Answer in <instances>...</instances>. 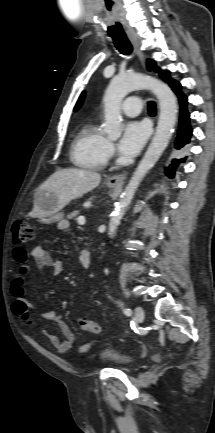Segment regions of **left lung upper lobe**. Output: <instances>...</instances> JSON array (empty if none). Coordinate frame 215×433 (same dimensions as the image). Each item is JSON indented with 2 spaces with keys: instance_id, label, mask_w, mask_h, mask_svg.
I'll use <instances>...</instances> for the list:
<instances>
[{
  "instance_id": "5c2ea615",
  "label": "left lung upper lobe",
  "mask_w": 215,
  "mask_h": 433,
  "mask_svg": "<svg viewBox=\"0 0 215 433\" xmlns=\"http://www.w3.org/2000/svg\"><path fill=\"white\" fill-rule=\"evenodd\" d=\"M147 68H148L149 70L157 71V72L160 74V76H161V77H162L166 82L169 83V82L171 81L170 78H169L168 72H167V71H166V72L161 71V70L157 67L156 63H155L153 60L148 59V61H147Z\"/></svg>"
}]
</instances>
